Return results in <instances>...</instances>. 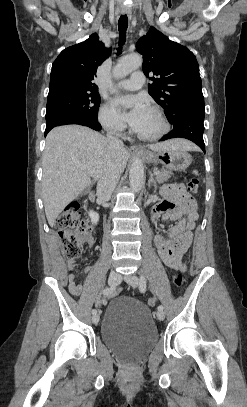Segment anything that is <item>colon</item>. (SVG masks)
<instances>
[{
	"label": "colon",
	"instance_id": "obj_1",
	"mask_svg": "<svg viewBox=\"0 0 247 407\" xmlns=\"http://www.w3.org/2000/svg\"><path fill=\"white\" fill-rule=\"evenodd\" d=\"M196 174L195 172L186 183V188L190 193H197L199 189V179ZM56 229L65 253L71 258H79L81 244L90 236L91 228L82 218L78 202H71L63 209L57 218ZM183 282L181 273L174 275L173 283L176 287H181ZM148 304L154 306L156 299L154 297L149 298Z\"/></svg>",
	"mask_w": 247,
	"mask_h": 407
}]
</instances>
